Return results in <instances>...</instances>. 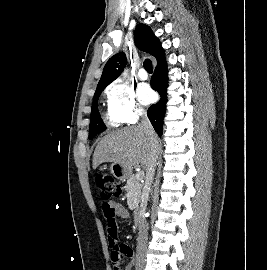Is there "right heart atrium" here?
<instances>
[{
    "label": "right heart atrium",
    "instance_id": "d8ad5b80",
    "mask_svg": "<svg viewBox=\"0 0 267 270\" xmlns=\"http://www.w3.org/2000/svg\"><path fill=\"white\" fill-rule=\"evenodd\" d=\"M108 112L119 123H136L144 110L135 99L134 91L122 81H114L105 90Z\"/></svg>",
    "mask_w": 267,
    "mask_h": 270
}]
</instances>
